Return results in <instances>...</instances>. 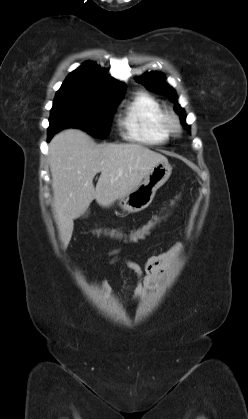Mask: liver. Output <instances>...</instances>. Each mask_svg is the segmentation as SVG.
I'll list each match as a JSON object with an SVG mask.
<instances>
[{
    "mask_svg": "<svg viewBox=\"0 0 248 419\" xmlns=\"http://www.w3.org/2000/svg\"><path fill=\"white\" fill-rule=\"evenodd\" d=\"M53 207L59 237L67 248L73 220L95 199L109 207L137 187L151 168L167 161L162 154L134 143L96 145L85 132L66 129L49 143ZM101 173L96 187L93 178Z\"/></svg>",
    "mask_w": 248,
    "mask_h": 419,
    "instance_id": "obj_1",
    "label": "liver"
}]
</instances>
